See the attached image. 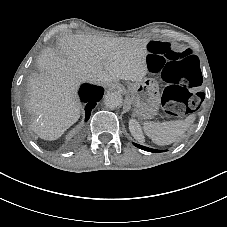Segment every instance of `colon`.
<instances>
[{
    "label": "colon",
    "mask_w": 227,
    "mask_h": 227,
    "mask_svg": "<svg viewBox=\"0 0 227 227\" xmlns=\"http://www.w3.org/2000/svg\"><path fill=\"white\" fill-rule=\"evenodd\" d=\"M147 65L166 83L162 105L167 114L177 116L196 110L201 97L193 91L200 85L202 74L199 58L191 50L177 51L163 40H152L146 47Z\"/></svg>",
    "instance_id": "obj_1"
}]
</instances>
